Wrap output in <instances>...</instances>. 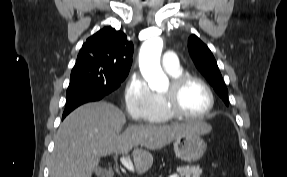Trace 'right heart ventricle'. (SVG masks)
<instances>
[{
    "label": "right heart ventricle",
    "instance_id": "1",
    "mask_svg": "<svg viewBox=\"0 0 287 177\" xmlns=\"http://www.w3.org/2000/svg\"><path fill=\"white\" fill-rule=\"evenodd\" d=\"M167 73L172 79L183 74L180 67L176 71H167ZM154 99L155 105L150 121L155 123H165L171 120L173 116L167 111L162 95L154 94Z\"/></svg>",
    "mask_w": 287,
    "mask_h": 177
}]
</instances>
